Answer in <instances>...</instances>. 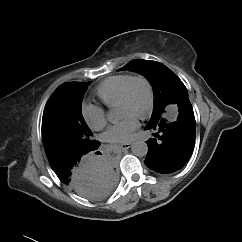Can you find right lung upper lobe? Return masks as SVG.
<instances>
[{
    "mask_svg": "<svg viewBox=\"0 0 242 242\" xmlns=\"http://www.w3.org/2000/svg\"><path fill=\"white\" fill-rule=\"evenodd\" d=\"M77 83L78 82H69V83L62 84L60 87H58L55 90V93H58L60 91H64V90L70 89V88L74 87Z\"/></svg>",
    "mask_w": 242,
    "mask_h": 242,
    "instance_id": "cb5924a9",
    "label": "right lung upper lobe"
}]
</instances>
